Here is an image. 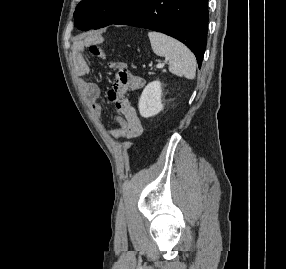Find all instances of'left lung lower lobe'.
<instances>
[{
  "mask_svg": "<svg viewBox=\"0 0 286 269\" xmlns=\"http://www.w3.org/2000/svg\"><path fill=\"white\" fill-rule=\"evenodd\" d=\"M113 24L162 32L183 42L201 66L208 25V0H143Z\"/></svg>",
  "mask_w": 286,
  "mask_h": 269,
  "instance_id": "1",
  "label": "left lung lower lobe"
}]
</instances>
